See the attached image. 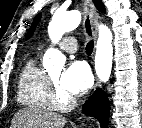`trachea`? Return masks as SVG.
I'll use <instances>...</instances> for the list:
<instances>
[{"label":"trachea","instance_id":"1","mask_svg":"<svg viewBox=\"0 0 142 128\" xmlns=\"http://www.w3.org/2000/svg\"><path fill=\"white\" fill-rule=\"evenodd\" d=\"M85 27H86V31H87L88 35L91 36L92 32H91V26H90V22H89L88 18L86 19ZM93 47H94V42H93V40H91L86 45V53L90 55L93 51Z\"/></svg>","mask_w":142,"mask_h":128}]
</instances>
